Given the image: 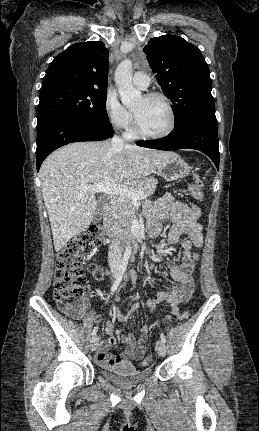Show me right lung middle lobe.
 I'll use <instances>...</instances> for the list:
<instances>
[{"instance_id":"right-lung-middle-lobe-1","label":"right lung middle lobe","mask_w":259,"mask_h":431,"mask_svg":"<svg viewBox=\"0 0 259 431\" xmlns=\"http://www.w3.org/2000/svg\"><path fill=\"white\" fill-rule=\"evenodd\" d=\"M106 89L83 88L67 84H54L40 91L37 120L57 114H72L90 120L108 121Z\"/></svg>"}]
</instances>
